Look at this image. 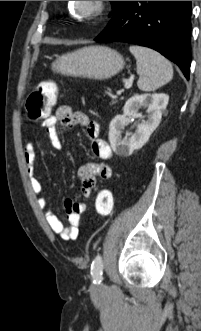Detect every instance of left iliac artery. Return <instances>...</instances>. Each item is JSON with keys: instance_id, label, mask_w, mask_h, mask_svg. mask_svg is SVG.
Instances as JSON below:
<instances>
[{"instance_id": "left-iliac-artery-1", "label": "left iliac artery", "mask_w": 201, "mask_h": 331, "mask_svg": "<svg viewBox=\"0 0 201 331\" xmlns=\"http://www.w3.org/2000/svg\"><path fill=\"white\" fill-rule=\"evenodd\" d=\"M103 261L101 255H97L91 265V275L93 283H100L102 280Z\"/></svg>"}]
</instances>
